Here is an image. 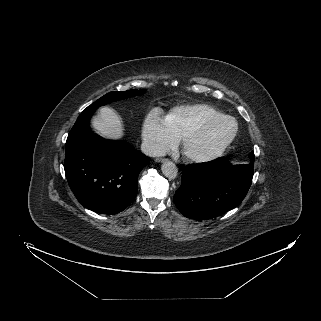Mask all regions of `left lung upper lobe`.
<instances>
[{"label": "left lung upper lobe", "mask_w": 321, "mask_h": 321, "mask_svg": "<svg viewBox=\"0 0 321 321\" xmlns=\"http://www.w3.org/2000/svg\"><path fill=\"white\" fill-rule=\"evenodd\" d=\"M251 154L254 155V152H251L250 155H251ZM250 155H249V156H250Z\"/></svg>", "instance_id": "5c2ea615"}]
</instances>
